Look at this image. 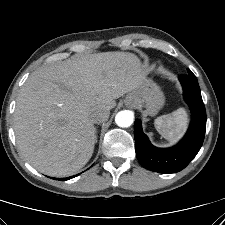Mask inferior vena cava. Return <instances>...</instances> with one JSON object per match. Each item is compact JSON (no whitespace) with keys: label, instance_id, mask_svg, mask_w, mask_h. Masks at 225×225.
<instances>
[{"label":"inferior vena cava","instance_id":"1","mask_svg":"<svg viewBox=\"0 0 225 225\" xmlns=\"http://www.w3.org/2000/svg\"><path fill=\"white\" fill-rule=\"evenodd\" d=\"M110 115V110L107 108H100L95 110L92 115H91V119L92 122L95 124H99L102 122L107 121V119L109 118Z\"/></svg>","mask_w":225,"mask_h":225}]
</instances>
